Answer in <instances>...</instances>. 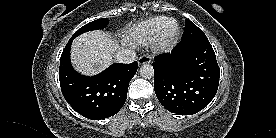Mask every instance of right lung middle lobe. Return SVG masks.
I'll list each match as a JSON object with an SVG mask.
<instances>
[{"instance_id": "1", "label": "right lung middle lobe", "mask_w": 276, "mask_h": 138, "mask_svg": "<svg viewBox=\"0 0 276 138\" xmlns=\"http://www.w3.org/2000/svg\"><path fill=\"white\" fill-rule=\"evenodd\" d=\"M107 24H108L107 18L97 19L81 27L71 38L74 39L78 35L85 33L87 31L102 29L105 26H107Z\"/></svg>"}]
</instances>
